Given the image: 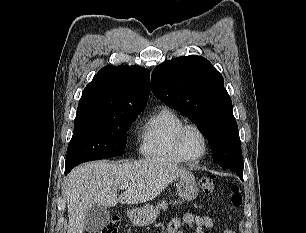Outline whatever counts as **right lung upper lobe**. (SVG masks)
Instances as JSON below:
<instances>
[{"label":"right lung upper lobe","mask_w":306,"mask_h":233,"mask_svg":"<svg viewBox=\"0 0 306 233\" xmlns=\"http://www.w3.org/2000/svg\"><path fill=\"white\" fill-rule=\"evenodd\" d=\"M149 71L133 66H105L82 93L78 108L144 110L149 98Z\"/></svg>","instance_id":"1"}]
</instances>
